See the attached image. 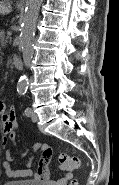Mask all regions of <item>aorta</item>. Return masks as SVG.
<instances>
[{
    "mask_svg": "<svg viewBox=\"0 0 119 185\" xmlns=\"http://www.w3.org/2000/svg\"><path fill=\"white\" fill-rule=\"evenodd\" d=\"M43 0H27L25 13L22 18L20 33V48L22 51L23 63L29 68L33 56V42L36 30V23L39 15L40 6ZM28 86L27 75H22L17 84V92L23 94Z\"/></svg>",
    "mask_w": 119,
    "mask_h": 185,
    "instance_id": "obj_1",
    "label": "aorta"
}]
</instances>
